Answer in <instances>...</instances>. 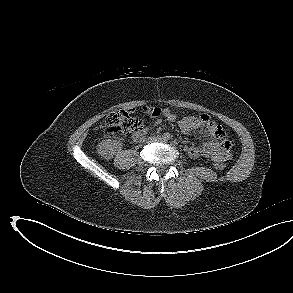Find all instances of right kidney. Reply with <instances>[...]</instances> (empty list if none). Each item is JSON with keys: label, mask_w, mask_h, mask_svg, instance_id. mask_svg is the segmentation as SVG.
I'll use <instances>...</instances> for the list:
<instances>
[{"label": "right kidney", "mask_w": 293, "mask_h": 293, "mask_svg": "<svg viewBox=\"0 0 293 293\" xmlns=\"http://www.w3.org/2000/svg\"><path fill=\"white\" fill-rule=\"evenodd\" d=\"M117 147L118 143L116 141L103 140L97 145V152L103 159L110 160L113 158Z\"/></svg>", "instance_id": "obj_1"}]
</instances>
